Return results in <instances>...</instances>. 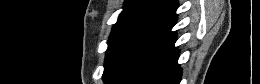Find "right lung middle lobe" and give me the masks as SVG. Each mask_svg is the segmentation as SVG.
Wrapping results in <instances>:
<instances>
[{
  "instance_id": "1",
  "label": "right lung middle lobe",
  "mask_w": 260,
  "mask_h": 84,
  "mask_svg": "<svg viewBox=\"0 0 260 84\" xmlns=\"http://www.w3.org/2000/svg\"><path fill=\"white\" fill-rule=\"evenodd\" d=\"M171 28L132 27L111 35L106 52V84H131L174 40Z\"/></svg>"
}]
</instances>
